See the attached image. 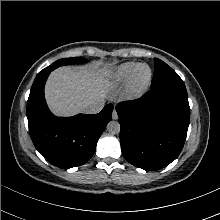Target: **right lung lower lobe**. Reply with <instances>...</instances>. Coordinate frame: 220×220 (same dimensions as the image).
Returning a JSON list of instances; mask_svg holds the SVG:
<instances>
[{"instance_id":"right-lung-lower-lobe-1","label":"right lung lower lobe","mask_w":220,"mask_h":220,"mask_svg":"<svg viewBox=\"0 0 220 220\" xmlns=\"http://www.w3.org/2000/svg\"><path fill=\"white\" fill-rule=\"evenodd\" d=\"M53 68L36 76L27 101V118L31 139L36 149L51 164L68 169L86 163L111 120L113 105L108 104L95 115L78 114L56 117L48 109L44 85Z\"/></svg>"}]
</instances>
